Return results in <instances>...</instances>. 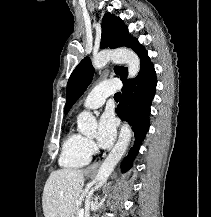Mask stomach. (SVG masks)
<instances>
[{
	"label": "stomach",
	"instance_id": "obj_1",
	"mask_svg": "<svg viewBox=\"0 0 211 217\" xmlns=\"http://www.w3.org/2000/svg\"><path fill=\"white\" fill-rule=\"evenodd\" d=\"M87 175H88L89 177H92V174H91V173H87Z\"/></svg>",
	"mask_w": 211,
	"mask_h": 217
}]
</instances>
